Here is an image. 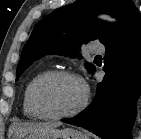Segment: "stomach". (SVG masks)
Masks as SVG:
<instances>
[{"label": "stomach", "instance_id": "0dacf381", "mask_svg": "<svg viewBox=\"0 0 141 139\" xmlns=\"http://www.w3.org/2000/svg\"><path fill=\"white\" fill-rule=\"evenodd\" d=\"M13 139H90L85 132L66 128V129H38L23 135H14Z\"/></svg>", "mask_w": 141, "mask_h": 139}]
</instances>
